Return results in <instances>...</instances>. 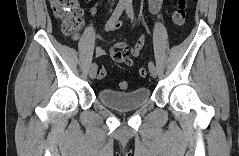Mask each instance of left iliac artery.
I'll return each instance as SVG.
<instances>
[{
    "label": "left iliac artery",
    "mask_w": 239,
    "mask_h": 156,
    "mask_svg": "<svg viewBox=\"0 0 239 156\" xmlns=\"http://www.w3.org/2000/svg\"><path fill=\"white\" fill-rule=\"evenodd\" d=\"M125 9H126V13L127 15L133 20L134 19V11H133V5L131 2H127L125 4ZM154 63L152 61H150L148 63V67L151 68V67H154Z\"/></svg>",
    "instance_id": "obj_1"
}]
</instances>
